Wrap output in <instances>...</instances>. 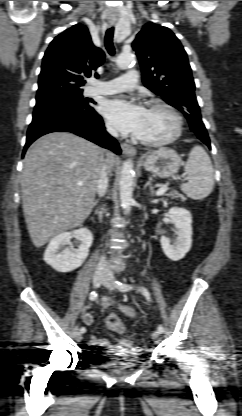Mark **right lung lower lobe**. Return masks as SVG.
I'll list each match as a JSON object with an SVG mask.
<instances>
[{
  "mask_svg": "<svg viewBox=\"0 0 242 416\" xmlns=\"http://www.w3.org/2000/svg\"><path fill=\"white\" fill-rule=\"evenodd\" d=\"M89 102L86 106L72 105L62 101L36 104L33 120L29 125L25 154L29 145L42 135L56 131H68L88 139L116 154L121 153L118 142L105 130L102 117Z\"/></svg>",
  "mask_w": 242,
  "mask_h": 416,
  "instance_id": "1",
  "label": "right lung lower lobe"
}]
</instances>
